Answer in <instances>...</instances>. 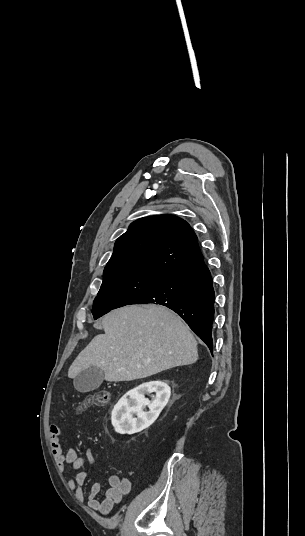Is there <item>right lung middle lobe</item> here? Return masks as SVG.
I'll use <instances>...</instances> for the list:
<instances>
[{
	"label": "right lung middle lobe",
	"instance_id": "1",
	"mask_svg": "<svg viewBox=\"0 0 305 536\" xmlns=\"http://www.w3.org/2000/svg\"><path fill=\"white\" fill-rule=\"evenodd\" d=\"M165 276L132 273L103 278L92 308L94 319L112 309L132 304L160 283Z\"/></svg>",
	"mask_w": 305,
	"mask_h": 536
}]
</instances>
